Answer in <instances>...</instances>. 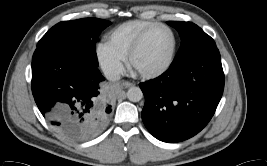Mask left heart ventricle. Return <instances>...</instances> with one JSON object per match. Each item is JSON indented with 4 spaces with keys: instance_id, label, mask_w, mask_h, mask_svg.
<instances>
[{
    "instance_id": "1",
    "label": "left heart ventricle",
    "mask_w": 267,
    "mask_h": 166,
    "mask_svg": "<svg viewBox=\"0 0 267 166\" xmlns=\"http://www.w3.org/2000/svg\"><path fill=\"white\" fill-rule=\"evenodd\" d=\"M173 46L171 33L164 28L153 31L133 59L137 71H154L166 64Z\"/></svg>"
}]
</instances>
